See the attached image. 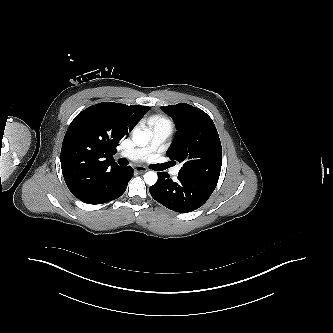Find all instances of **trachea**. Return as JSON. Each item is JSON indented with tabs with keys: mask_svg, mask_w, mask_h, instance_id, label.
Listing matches in <instances>:
<instances>
[{
	"mask_svg": "<svg viewBox=\"0 0 333 333\" xmlns=\"http://www.w3.org/2000/svg\"><path fill=\"white\" fill-rule=\"evenodd\" d=\"M118 163L121 165V166H127L128 165V160L126 159V158H120L119 160H118ZM172 166V163H165V164H163V165H161V170H164V169H167V168H169V167H171Z\"/></svg>",
	"mask_w": 333,
	"mask_h": 333,
	"instance_id": "obj_1",
	"label": "trachea"
}]
</instances>
